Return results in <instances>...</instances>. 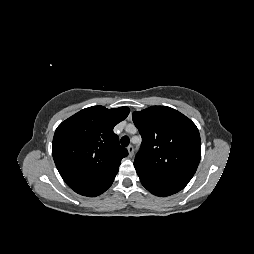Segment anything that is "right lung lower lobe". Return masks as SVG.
Listing matches in <instances>:
<instances>
[{"mask_svg": "<svg viewBox=\"0 0 254 254\" xmlns=\"http://www.w3.org/2000/svg\"><path fill=\"white\" fill-rule=\"evenodd\" d=\"M116 173H113L98 181L72 187V189L83 196L94 197L105 192L113 183Z\"/></svg>", "mask_w": 254, "mask_h": 254, "instance_id": "1", "label": "right lung lower lobe"}]
</instances>
